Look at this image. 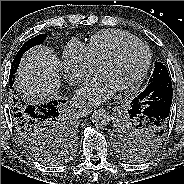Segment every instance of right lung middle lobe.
<instances>
[{
    "instance_id": "obj_1",
    "label": "right lung middle lobe",
    "mask_w": 184,
    "mask_h": 184,
    "mask_svg": "<svg viewBox=\"0 0 184 184\" xmlns=\"http://www.w3.org/2000/svg\"><path fill=\"white\" fill-rule=\"evenodd\" d=\"M47 34H40L31 38L20 48L16 54L10 70V87L14 84L16 70L19 66L23 54L36 45L42 44ZM16 99V100H15ZM28 104L23 98L13 96L11 99V110L19 136L28 149V151L42 163H57L62 160V154L59 151L64 148H71L74 144V131L69 127L66 117L62 110H55L42 117L35 126V131L25 130L26 125L23 122L16 123L15 115L22 116L28 112Z\"/></svg>"
}]
</instances>
